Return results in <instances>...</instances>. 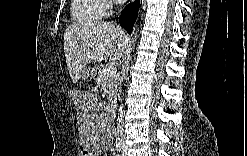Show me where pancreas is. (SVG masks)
<instances>
[{
	"label": "pancreas",
	"instance_id": "obj_1",
	"mask_svg": "<svg viewBox=\"0 0 247 156\" xmlns=\"http://www.w3.org/2000/svg\"><path fill=\"white\" fill-rule=\"evenodd\" d=\"M108 66H102L99 67L98 70V76H97V84L102 86L104 89L107 97L109 99H112L114 93L116 92L117 89V82H116V76L115 75H106L105 74V69Z\"/></svg>",
	"mask_w": 247,
	"mask_h": 156
}]
</instances>
